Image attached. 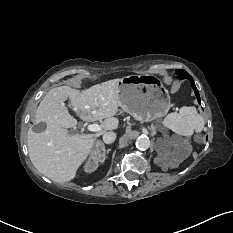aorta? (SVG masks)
<instances>
[{"label": "aorta", "instance_id": "aorta-1", "mask_svg": "<svg viewBox=\"0 0 233 233\" xmlns=\"http://www.w3.org/2000/svg\"><path fill=\"white\" fill-rule=\"evenodd\" d=\"M136 147L140 150H146L150 147V140L146 136H139L136 140Z\"/></svg>", "mask_w": 233, "mask_h": 233}]
</instances>
